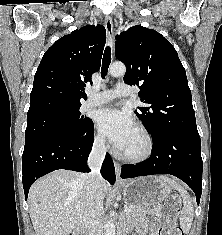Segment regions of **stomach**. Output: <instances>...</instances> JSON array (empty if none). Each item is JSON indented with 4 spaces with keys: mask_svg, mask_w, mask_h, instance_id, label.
<instances>
[{
    "mask_svg": "<svg viewBox=\"0 0 222 235\" xmlns=\"http://www.w3.org/2000/svg\"><path fill=\"white\" fill-rule=\"evenodd\" d=\"M121 188L125 203L140 211L162 202L172 190V187L158 176L129 180L122 183Z\"/></svg>",
    "mask_w": 222,
    "mask_h": 235,
    "instance_id": "1",
    "label": "stomach"
}]
</instances>
